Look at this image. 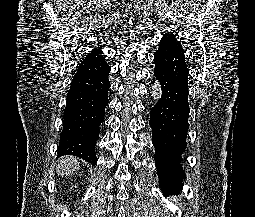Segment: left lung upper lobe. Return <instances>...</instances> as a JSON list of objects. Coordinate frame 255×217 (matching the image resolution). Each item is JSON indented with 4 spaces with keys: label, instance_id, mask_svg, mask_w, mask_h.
Listing matches in <instances>:
<instances>
[{
    "label": "left lung upper lobe",
    "instance_id": "left-lung-upper-lobe-1",
    "mask_svg": "<svg viewBox=\"0 0 255 217\" xmlns=\"http://www.w3.org/2000/svg\"><path fill=\"white\" fill-rule=\"evenodd\" d=\"M160 45L161 46H167V47H170V48H173L181 53H185L181 43L179 40L176 39L175 35L172 34V33H166L161 41H160Z\"/></svg>",
    "mask_w": 255,
    "mask_h": 217
}]
</instances>
